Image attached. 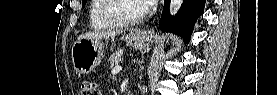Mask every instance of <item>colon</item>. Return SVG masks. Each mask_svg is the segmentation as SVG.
Returning a JSON list of instances; mask_svg holds the SVG:
<instances>
[{
    "mask_svg": "<svg viewBox=\"0 0 277 95\" xmlns=\"http://www.w3.org/2000/svg\"><path fill=\"white\" fill-rule=\"evenodd\" d=\"M79 94L80 95H97V94H99L98 87L93 82L84 81L81 84V89H80V93Z\"/></svg>",
    "mask_w": 277,
    "mask_h": 95,
    "instance_id": "obj_1",
    "label": "colon"
}]
</instances>
